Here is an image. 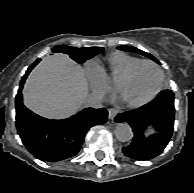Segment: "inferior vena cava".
<instances>
[{
	"label": "inferior vena cava",
	"instance_id": "1",
	"mask_svg": "<svg viewBox=\"0 0 194 193\" xmlns=\"http://www.w3.org/2000/svg\"><path fill=\"white\" fill-rule=\"evenodd\" d=\"M103 102V95L100 93H91L86 99V105L94 108H101Z\"/></svg>",
	"mask_w": 194,
	"mask_h": 193
}]
</instances>
